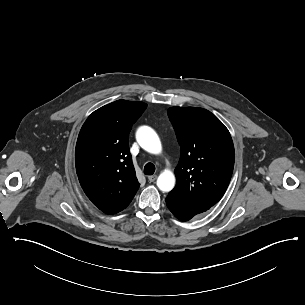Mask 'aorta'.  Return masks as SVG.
<instances>
[{"mask_svg": "<svg viewBox=\"0 0 305 305\" xmlns=\"http://www.w3.org/2000/svg\"><path fill=\"white\" fill-rule=\"evenodd\" d=\"M136 139L139 145L151 154H159L162 150L157 133L148 126H142L137 130ZM157 186L163 192L171 191L175 186V176L169 171H163L158 179Z\"/></svg>", "mask_w": 305, "mask_h": 305, "instance_id": "762f6f07", "label": "aorta"}]
</instances>
